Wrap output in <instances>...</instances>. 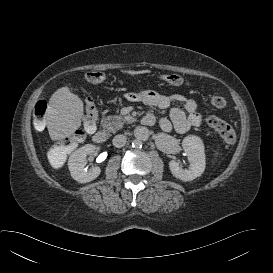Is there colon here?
Here are the masks:
<instances>
[{
	"mask_svg": "<svg viewBox=\"0 0 273 273\" xmlns=\"http://www.w3.org/2000/svg\"><path fill=\"white\" fill-rule=\"evenodd\" d=\"M86 80L92 84H99L104 81L105 74L101 70H91L85 75ZM159 80L170 85L180 86L185 83L182 76L177 74H161L158 76ZM86 111L82 120L83 131L92 132L98 122V108L92 98H86ZM211 104L216 108H223L226 106V100L222 96H213L211 98ZM46 112L47 102L45 100H39L34 106L33 118L34 126L37 130H43L46 125ZM208 126L216 130L222 139L229 145L236 142V133L234 129L224 120L216 116H208L206 118ZM83 131L75 132L63 145H58L52 149L50 157H54L56 154H62L68 151L73 144L80 143L83 140ZM53 164L58 165L59 161L57 158H53Z\"/></svg>",
	"mask_w": 273,
	"mask_h": 273,
	"instance_id": "5ec220e1",
	"label": "colon"
}]
</instances>
